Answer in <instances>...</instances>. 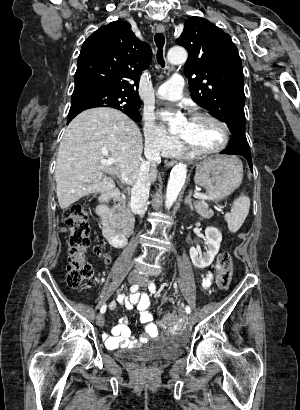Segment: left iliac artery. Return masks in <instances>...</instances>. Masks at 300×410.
<instances>
[{
	"label": "left iliac artery",
	"mask_w": 300,
	"mask_h": 410,
	"mask_svg": "<svg viewBox=\"0 0 300 410\" xmlns=\"http://www.w3.org/2000/svg\"><path fill=\"white\" fill-rule=\"evenodd\" d=\"M149 291H150L151 293H155V292H156V286H155L154 281H151V282H150V284H149ZM185 311H186V313L190 314V313H191L190 307H189V306H186V307H185Z\"/></svg>",
	"instance_id": "left-iliac-artery-1"
}]
</instances>
